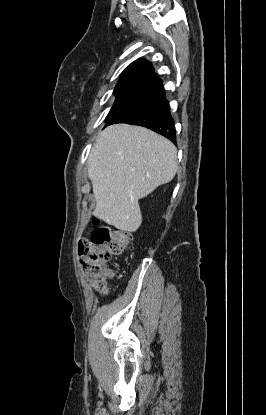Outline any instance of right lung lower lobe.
Listing matches in <instances>:
<instances>
[{
	"mask_svg": "<svg viewBox=\"0 0 266 415\" xmlns=\"http://www.w3.org/2000/svg\"><path fill=\"white\" fill-rule=\"evenodd\" d=\"M127 123L149 128L176 144L174 121L164 88L153 92L143 100L115 114L107 125Z\"/></svg>",
	"mask_w": 266,
	"mask_h": 415,
	"instance_id": "obj_1",
	"label": "right lung lower lobe"
}]
</instances>
